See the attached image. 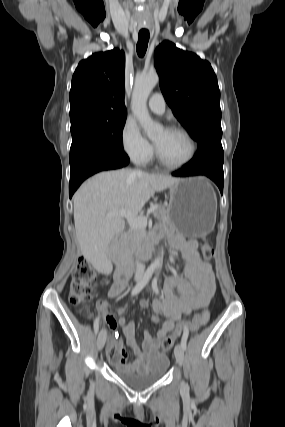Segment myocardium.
Segmentation results:
<instances>
[{
  "label": "myocardium",
  "mask_w": 285,
  "mask_h": 427,
  "mask_svg": "<svg viewBox=\"0 0 285 427\" xmlns=\"http://www.w3.org/2000/svg\"><path fill=\"white\" fill-rule=\"evenodd\" d=\"M166 130L182 134L187 139V141L189 143V147H190L189 153H188L187 157L184 160H182L181 162L169 163V162H166L160 156L159 151H158L156 145L154 144L155 158H156L157 162L164 168L171 169V170L183 168L186 165H188L194 159L195 154H196V150H197L196 142H195L194 138L192 137V135L183 127L170 126V127L166 128Z\"/></svg>",
  "instance_id": "myocardium-1"
}]
</instances>
